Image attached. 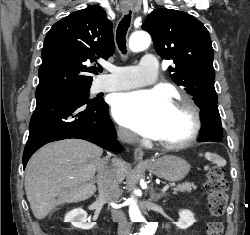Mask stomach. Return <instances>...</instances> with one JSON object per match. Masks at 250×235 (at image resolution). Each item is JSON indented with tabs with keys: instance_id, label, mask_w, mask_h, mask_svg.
Returning a JSON list of instances; mask_svg holds the SVG:
<instances>
[{
	"instance_id": "0dacf381",
	"label": "stomach",
	"mask_w": 250,
	"mask_h": 235,
	"mask_svg": "<svg viewBox=\"0 0 250 235\" xmlns=\"http://www.w3.org/2000/svg\"><path fill=\"white\" fill-rule=\"evenodd\" d=\"M146 167L155 176L169 182L182 180L190 171L189 163L174 155L160 157L149 162Z\"/></svg>"
}]
</instances>
